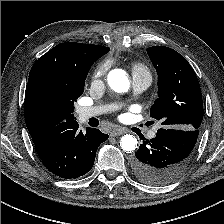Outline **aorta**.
Wrapping results in <instances>:
<instances>
[{
  "label": "aorta",
  "mask_w": 224,
  "mask_h": 224,
  "mask_svg": "<svg viewBox=\"0 0 224 224\" xmlns=\"http://www.w3.org/2000/svg\"><path fill=\"white\" fill-rule=\"evenodd\" d=\"M107 82L112 90L118 93L127 92L130 82L122 69H113L108 73ZM120 147L125 152H133L137 148V139L133 135H124L120 140Z\"/></svg>",
  "instance_id": "1"
}]
</instances>
